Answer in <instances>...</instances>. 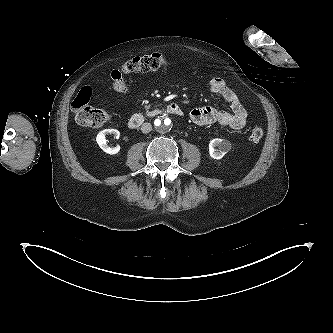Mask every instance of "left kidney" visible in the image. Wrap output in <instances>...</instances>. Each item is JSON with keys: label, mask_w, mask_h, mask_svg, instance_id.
Wrapping results in <instances>:
<instances>
[{"label": "left kidney", "mask_w": 333, "mask_h": 333, "mask_svg": "<svg viewBox=\"0 0 333 333\" xmlns=\"http://www.w3.org/2000/svg\"><path fill=\"white\" fill-rule=\"evenodd\" d=\"M231 149V143L224 139L215 138L209 143V154L213 159L219 160Z\"/></svg>", "instance_id": "left-kidney-1"}]
</instances>
